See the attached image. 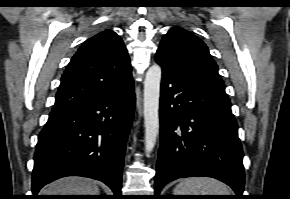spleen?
<instances>
[{
  "instance_id": "1",
  "label": "spleen",
  "mask_w": 290,
  "mask_h": 199,
  "mask_svg": "<svg viewBox=\"0 0 290 199\" xmlns=\"http://www.w3.org/2000/svg\"><path fill=\"white\" fill-rule=\"evenodd\" d=\"M174 195H230L228 187L213 178L183 179L174 189Z\"/></svg>"
}]
</instances>
